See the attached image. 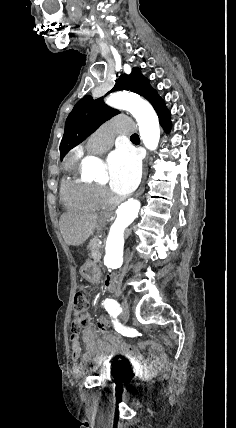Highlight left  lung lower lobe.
I'll return each instance as SVG.
<instances>
[{
    "label": "left lung lower lobe",
    "instance_id": "0a47b994",
    "mask_svg": "<svg viewBox=\"0 0 236 428\" xmlns=\"http://www.w3.org/2000/svg\"><path fill=\"white\" fill-rule=\"evenodd\" d=\"M159 117L160 124L163 126L165 131H169L171 128V121H170V112L166 108V106H163L159 110L156 111Z\"/></svg>",
    "mask_w": 236,
    "mask_h": 428
}]
</instances>
